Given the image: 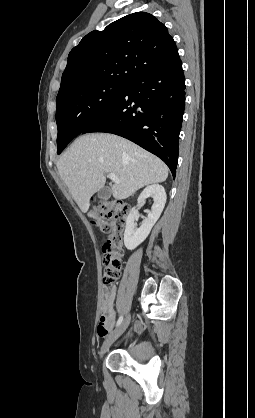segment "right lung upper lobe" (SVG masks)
I'll return each mask as SVG.
<instances>
[{
  "mask_svg": "<svg viewBox=\"0 0 255 418\" xmlns=\"http://www.w3.org/2000/svg\"><path fill=\"white\" fill-rule=\"evenodd\" d=\"M178 59L165 25L149 13L136 12L90 32L71 50L58 95L98 82L128 84Z\"/></svg>",
  "mask_w": 255,
  "mask_h": 418,
  "instance_id": "right-lung-upper-lobe-1",
  "label": "right lung upper lobe"
}]
</instances>
